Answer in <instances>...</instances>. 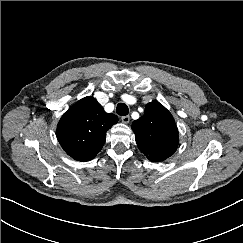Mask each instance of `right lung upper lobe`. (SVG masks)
Segmentation results:
<instances>
[{"label":"right lung upper lobe","instance_id":"obj_1","mask_svg":"<svg viewBox=\"0 0 243 243\" xmlns=\"http://www.w3.org/2000/svg\"><path fill=\"white\" fill-rule=\"evenodd\" d=\"M118 117L106 113L97 100L88 96L71 106L57 126V139L64 151L79 161H89L99 153L106 132Z\"/></svg>","mask_w":243,"mask_h":243}]
</instances>
